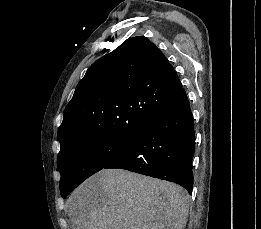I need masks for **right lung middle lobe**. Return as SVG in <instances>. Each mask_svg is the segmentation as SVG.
Returning a JSON list of instances; mask_svg holds the SVG:
<instances>
[{
    "label": "right lung middle lobe",
    "mask_w": 261,
    "mask_h": 229,
    "mask_svg": "<svg viewBox=\"0 0 261 229\" xmlns=\"http://www.w3.org/2000/svg\"><path fill=\"white\" fill-rule=\"evenodd\" d=\"M132 140L84 137L61 146L58 154L61 196L65 198L85 179L103 169L126 150Z\"/></svg>",
    "instance_id": "1"
}]
</instances>
